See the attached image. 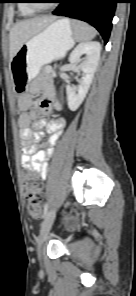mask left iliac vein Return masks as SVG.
I'll list each match as a JSON object with an SVG mask.
<instances>
[{
    "mask_svg": "<svg viewBox=\"0 0 136 296\" xmlns=\"http://www.w3.org/2000/svg\"><path fill=\"white\" fill-rule=\"evenodd\" d=\"M56 216V209H51L41 225V231L38 238V257L41 258L42 248L48 239V234Z\"/></svg>",
    "mask_w": 136,
    "mask_h": 296,
    "instance_id": "left-iliac-vein-1",
    "label": "left iliac vein"
}]
</instances>
